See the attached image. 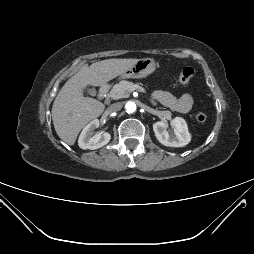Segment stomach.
I'll return each instance as SVG.
<instances>
[{
	"label": "stomach",
	"instance_id": "0dacf381",
	"mask_svg": "<svg viewBox=\"0 0 254 254\" xmlns=\"http://www.w3.org/2000/svg\"><path fill=\"white\" fill-rule=\"evenodd\" d=\"M156 63L152 58H142L125 70L120 77L124 79H140L154 72Z\"/></svg>",
	"mask_w": 254,
	"mask_h": 254
}]
</instances>
